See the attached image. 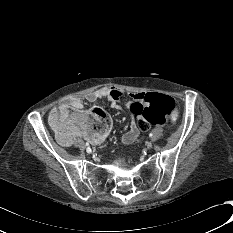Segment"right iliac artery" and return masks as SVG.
I'll return each mask as SVG.
<instances>
[{
  "instance_id": "1",
  "label": "right iliac artery",
  "mask_w": 233,
  "mask_h": 233,
  "mask_svg": "<svg viewBox=\"0 0 233 233\" xmlns=\"http://www.w3.org/2000/svg\"><path fill=\"white\" fill-rule=\"evenodd\" d=\"M86 145H88V144L86 143ZM88 150H89V151H91V148H90V147H88Z\"/></svg>"
}]
</instances>
